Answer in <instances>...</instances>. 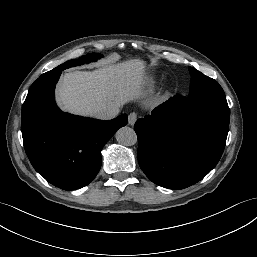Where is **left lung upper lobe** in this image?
<instances>
[{
	"label": "left lung upper lobe",
	"mask_w": 257,
	"mask_h": 257,
	"mask_svg": "<svg viewBox=\"0 0 257 257\" xmlns=\"http://www.w3.org/2000/svg\"><path fill=\"white\" fill-rule=\"evenodd\" d=\"M191 75L190 97L222 96L225 97L222 87L214 79L202 74L193 67H189Z\"/></svg>",
	"instance_id": "obj_1"
}]
</instances>
